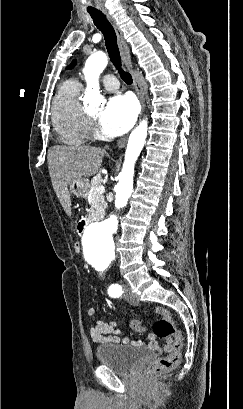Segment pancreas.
I'll return each instance as SVG.
<instances>
[{
	"label": "pancreas",
	"instance_id": "1",
	"mask_svg": "<svg viewBox=\"0 0 243 409\" xmlns=\"http://www.w3.org/2000/svg\"><path fill=\"white\" fill-rule=\"evenodd\" d=\"M100 176H95L90 183L88 202L90 204L89 216L91 219L100 220L105 215L107 203L104 200V196L96 192V187L100 184Z\"/></svg>",
	"mask_w": 243,
	"mask_h": 409
}]
</instances>
